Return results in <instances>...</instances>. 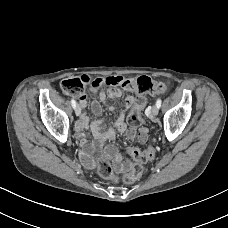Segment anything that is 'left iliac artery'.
Here are the masks:
<instances>
[{"instance_id":"44dca946","label":"left iliac artery","mask_w":228,"mask_h":228,"mask_svg":"<svg viewBox=\"0 0 228 228\" xmlns=\"http://www.w3.org/2000/svg\"><path fill=\"white\" fill-rule=\"evenodd\" d=\"M161 103H162L161 99H158L157 102H156V106H157L158 108H160Z\"/></svg>"}]
</instances>
